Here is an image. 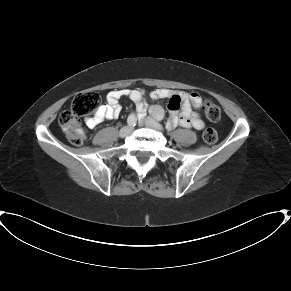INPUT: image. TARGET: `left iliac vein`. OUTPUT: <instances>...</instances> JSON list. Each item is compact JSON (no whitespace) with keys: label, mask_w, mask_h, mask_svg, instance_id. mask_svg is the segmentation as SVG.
Wrapping results in <instances>:
<instances>
[{"label":"left iliac vein","mask_w":291,"mask_h":291,"mask_svg":"<svg viewBox=\"0 0 291 291\" xmlns=\"http://www.w3.org/2000/svg\"><path fill=\"white\" fill-rule=\"evenodd\" d=\"M143 124L144 126L146 127H150V128H154L155 130H162V126L160 123H158L156 120H154L153 118L151 117H146L144 120H143Z\"/></svg>","instance_id":"obj_1"}]
</instances>
